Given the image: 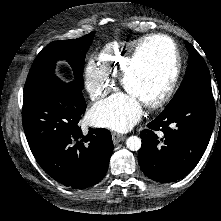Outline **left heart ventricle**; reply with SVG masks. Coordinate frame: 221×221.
<instances>
[{
	"mask_svg": "<svg viewBox=\"0 0 221 221\" xmlns=\"http://www.w3.org/2000/svg\"><path fill=\"white\" fill-rule=\"evenodd\" d=\"M173 58L170 44L153 39L141 50L137 63L127 79V93L144 103L153 98L167 82Z\"/></svg>",
	"mask_w": 221,
	"mask_h": 221,
	"instance_id": "b2bd125f",
	"label": "left heart ventricle"
}]
</instances>
